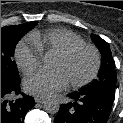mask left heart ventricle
<instances>
[{"mask_svg":"<svg viewBox=\"0 0 123 123\" xmlns=\"http://www.w3.org/2000/svg\"><path fill=\"white\" fill-rule=\"evenodd\" d=\"M94 58L91 52L81 51L70 59H62L55 56L51 67L61 70L68 82L79 81L87 77L92 71Z\"/></svg>","mask_w":123,"mask_h":123,"instance_id":"obj_1","label":"left heart ventricle"}]
</instances>
